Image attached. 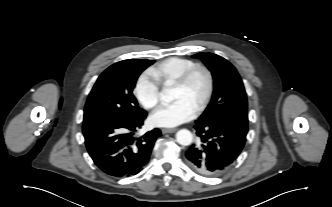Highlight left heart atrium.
Listing matches in <instances>:
<instances>
[{
    "mask_svg": "<svg viewBox=\"0 0 332 207\" xmlns=\"http://www.w3.org/2000/svg\"><path fill=\"white\" fill-rule=\"evenodd\" d=\"M196 114V108L183 99L159 107L151 116L150 122L157 127L172 128L183 124Z\"/></svg>",
    "mask_w": 332,
    "mask_h": 207,
    "instance_id": "left-heart-atrium-1",
    "label": "left heart atrium"
}]
</instances>
